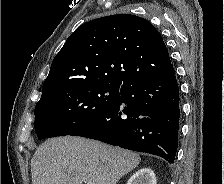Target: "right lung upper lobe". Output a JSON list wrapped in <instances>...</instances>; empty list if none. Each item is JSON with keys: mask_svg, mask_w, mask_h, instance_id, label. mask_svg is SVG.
Returning a JSON list of instances; mask_svg holds the SVG:
<instances>
[{"mask_svg": "<svg viewBox=\"0 0 224 184\" xmlns=\"http://www.w3.org/2000/svg\"><path fill=\"white\" fill-rule=\"evenodd\" d=\"M173 69L165 43L149 21L130 14L106 16L69 36L51 64L39 102L82 83L124 85Z\"/></svg>", "mask_w": 224, "mask_h": 184, "instance_id": "right-lung-upper-lobe-1", "label": "right lung upper lobe"}]
</instances>
